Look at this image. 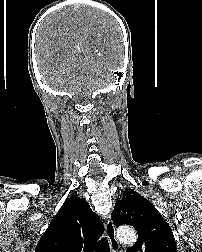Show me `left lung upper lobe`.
Segmentation results:
<instances>
[{"label": "left lung upper lobe", "mask_w": 202, "mask_h": 252, "mask_svg": "<svg viewBox=\"0 0 202 252\" xmlns=\"http://www.w3.org/2000/svg\"><path fill=\"white\" fill-rule=\"evenodd\" d=\"M116 226L135 227L138 240L126 252H178L171 228L147 199L130 189L123 192L111 214Z\"/></svg>", "instance_id": "5c2ea615"}]
</instances>
